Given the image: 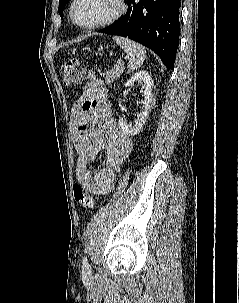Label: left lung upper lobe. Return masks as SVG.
<instances>
[{
  "label": "left lung upper lobe",
  "mask_w": 239,
  "mask_h": 303,
  "mask_svg": "<svg viewBox=\"0 0 239 303\" xmlns=\"http://www.w3.org/2000/svg\"><path fill=\"white\" fill-rule=\"evenodd\" d=\"M68 2H69V0H60L59 1L58 12H59L61 18H63V10Z\"/></svg>",
  "instance_id": "left-lung-upper-lobe-1"
}]
</instances>
